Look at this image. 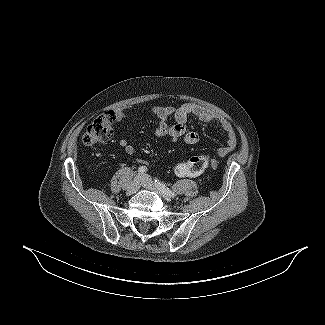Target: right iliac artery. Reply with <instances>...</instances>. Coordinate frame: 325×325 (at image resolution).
<instances>
[{
  "label": "right iliac artery",
  "instance_id": "1",
  "mask_svg": "<svg viewBox=\"0 0 325 325\" xmlns=\"http://www.w3.org/2000/svg\"><path fill=\"white\" fill-rule=\"evenodd\" d=\"M146 171H147V168H146L145 166H141V167L138 168V172H139V174H143V173H145Z\"/></svg>",
  "mask_w": 325,
  "mask_h": 325
}]
</instances>
